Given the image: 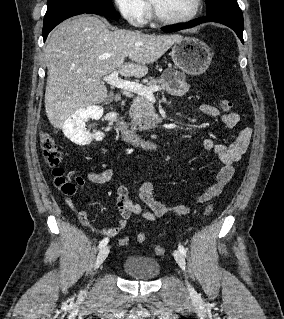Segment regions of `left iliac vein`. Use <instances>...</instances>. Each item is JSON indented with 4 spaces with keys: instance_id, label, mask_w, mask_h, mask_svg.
<instances>
[{
    "instance_id": "4c4485c4",
    "label": "left iliac vein",
    "mask_w": 284,
    "mask_h": 319,
    "mask_svg": "<svg viewBox=\"0 0 284 319\" xmlns=\"http://www.w3.org/2000/svg\"><path fill=\"white\" fill-rule=\"evenodd\" d=\"M174 258L176 260V262L178 263V265L180 266V268L185 271L186 268V262H185V258L184 255L179 251V250H175L174 251ZM188 289L193 292V288L190 284L187 283Z\"/></svg>"
}]
</instances>
